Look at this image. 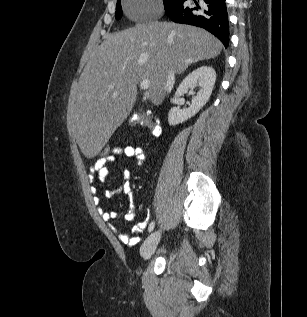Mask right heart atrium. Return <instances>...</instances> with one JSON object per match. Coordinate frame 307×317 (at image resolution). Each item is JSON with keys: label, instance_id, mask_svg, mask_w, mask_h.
Masks as SVG:
<instances>
[{"label": "right heart atrium", "instance_id": "1", "mask_svg": "<svg viewBox=\"0 0 307 317\" xmlns=\"http://www.w3.org/2000/svg\"><path fill=\"white\" fill-rule=\"evenodd\" d=\"M141 2L145 0H140ZM156 9L151 6H137L135 11L132 13L133 18L146 19L153 17L156 14Z\"/></svg>", "mask_w": 307, "mask_h": 317}]
</instances>
